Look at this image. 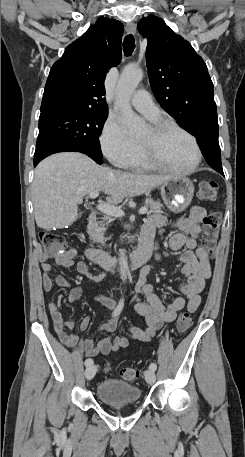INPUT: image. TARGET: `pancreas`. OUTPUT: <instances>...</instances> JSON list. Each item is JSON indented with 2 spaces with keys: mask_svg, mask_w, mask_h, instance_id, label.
<instances>
[{
  "mask_svg": "<svg viewBox=\"0 0 245 457\" xmlns=\"http://www.w3.org/2000/svg\"><path fill=\"white\" fill-rule=\"evenodd\" d=\"M146 206H149L150 210H160L163 208L164 204H161L160 200H153V198H145ZM113 218H109L108 222L105 224H101L99 226L98 222H93V224H88L87 226V233L90 237V241H94V243H100V245H105L104 233L107 231L106 224H109Z\"/></svg>",
  "mask_w": 245,
  "mask_h": 457,
  "instance_id": "pancreas-1",
  "label": "pancreas"
}]
</instances>
